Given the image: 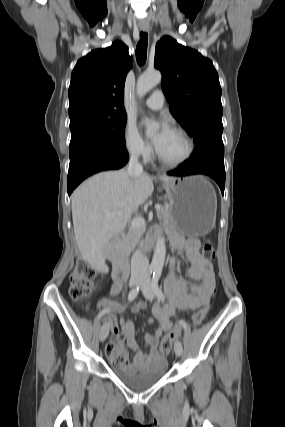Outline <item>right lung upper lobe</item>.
<instances>
[{"instance_id":"1","label":"right lung upper lobe","mask_w":285,"mask_h":427,"mask_svg":"<svg viewBox=\"0 0 285 427\" xmlns=\"http://www.w3.org/2000/svg\"><path fill=\"white\" fill-rule=\"evenodd\" d=\"M132 62L128 47L119 41L81 58L71 75L69 115L87 110L125 112L124 84Z\"/></svg>"}]
</instances>
